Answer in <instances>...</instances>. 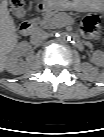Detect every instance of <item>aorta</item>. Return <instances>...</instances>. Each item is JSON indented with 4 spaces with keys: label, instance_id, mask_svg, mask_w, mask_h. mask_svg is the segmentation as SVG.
Returning <instances> with one entry per match:
<instances>
[{
    "label": "aorta",
    "instance_id": "762f6f07",
    "mask_svg": "<svg viewBox=\"0 0 104 137\" xmlns=\"http://www.w3.org/2000/svg\"><path fill=\"white\" fill-rule=\"evenodd\" d=\"M58 41H59L60 43H65V42H67V41H71V37L68 36L67 34H60V35L58 36Z\"/></svg>",
    "mask_w": 104,
    "mask_h": 137
}]
</instances>
